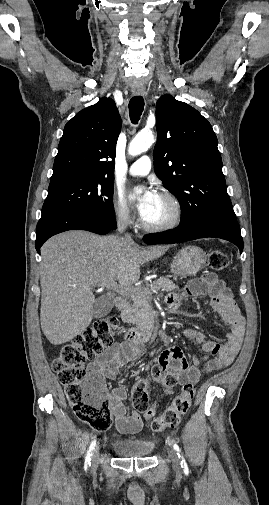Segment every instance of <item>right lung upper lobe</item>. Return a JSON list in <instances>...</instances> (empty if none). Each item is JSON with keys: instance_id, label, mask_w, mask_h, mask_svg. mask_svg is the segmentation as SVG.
Returning <instances> with one entry per match:
<instances>
[{"instance_id": "1", "label": "right lung upper lobe", "mask_w": 269, "mask_h": 505, "mask_svg": "<svg viewBox=\"0 0 269 505\" xmlns=\"http://www.w3.org/2000/svg\"><path fill=\"white\" fill-rule=\"evenodd\" d=\"M120 130L121 118L110 98H101L78 112L65 125L49 188L80 181L114 180Z\"/></svg>"}]
</instances>
